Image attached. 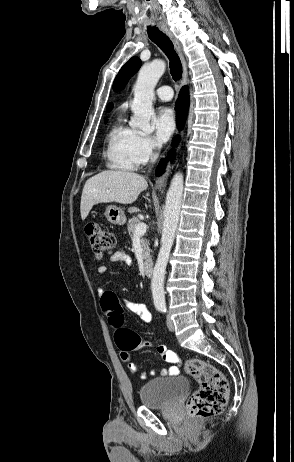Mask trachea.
Masks as SVG:
<instances>
[{"label":"trachea","mask_w":294,"mask_h":462,"mask_svg":"<svg viewBox=\"0 0 294 462\" xmlns=\"http://www.w3.org/2000/svg\"><path fill=\"white\" fill-rule=\"evenodd\" d=\"M148 36L168 57L170 63V73L176 81L182 76V64L179 56L174 50L172 41L166 34L161 32L157 27H148Z\"/></svg>","instance_id":"1"}]
</instances>
